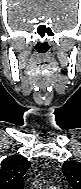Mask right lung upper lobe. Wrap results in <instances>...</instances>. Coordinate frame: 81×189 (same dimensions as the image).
I'll use <instances>...</instances> for the list:
<instances>
[{"label": "right lung upper lobe", "mask_w": 81, "mask_h": 189, "mask_svg": "<svg viewBox=\"0 0 81 189\" xmlns=\"http://www.w3.org/2000/svg\"><path fill=\"white\" fill-rule=\"evenodd\" d=\"M30 162L21 155L7 157L1 162L0 189H23V175Z\"/></svg>", "instance_id": "right-lung-upper-lobe-1"}]
</instances>
